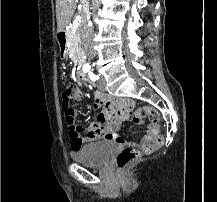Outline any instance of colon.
Masks as SVG:
<instances>
[{
  "label": "colon",
  "mask_w": 217,
  "mask_h": 202,
  "mask_svg": "<svg viewBox=\"0 0 217 202\" xmlns=\"http://www.w3.org/2000/svg\"><path fill=\"white\" fill-rule=\"evenodd\" d=\"M71 95V89L66 87L61 90L60 94V100H61V106L62 111L65 116V123L68 126V128L71 130L74 127V118H73V112L71 110L70 104H69V98ZM147 104H142L141 107H137V111L132 113L133 121L135 123V126H144V121H142V117H147L151 122H158L160 120V115L156 111L155 107H148ZM164 141L163 137H155V140L152 142H148L145 145V153H151L153 152L159 145L162 144ZM141 156V152L133 147H125L116 157V165L119 168L124 167L128 163L137 160Z\"/></svg>",
  "instance_id": "obj_1"
}]
</instances>
